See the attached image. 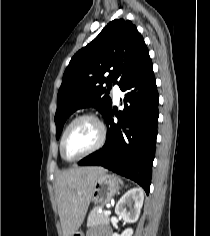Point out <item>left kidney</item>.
<instances>
[{"label": "left kidney", "instance_id": "left-kidney-1", "mask_svg": "<svg viewBox=\"0 0 210 236\" xmlns=\"http://www.w3.org/2000/svg\"><path fill=\"white\" fill-rule=\"evenodd\" d=\"M144 192L141 188L134 187L128 190L117 202L115 207V213L123 218L125 222L132 223L135 222L140 215V210L143 205ZM126 205L129 206V209L126 208ZM133 229H125L121 235L116 233L113 236H132Z\"/></svg>", "mask_w": 210, "mask_h": 236}]
</instances>
